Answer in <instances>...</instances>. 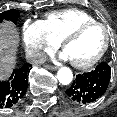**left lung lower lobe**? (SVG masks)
Masks as SVG:
<instances>
[{
    "label": "left lung lower lobe",
    "mask_w": 117,
    "mask_h": 117,
    "mask_svg": "<svg viewBox=\"0 0 117 117\" xmlns=\"http://www.w3.org/2000/svg\"><path fill=\"white\" fill-rule=\"evenodd\" d=\"M111 77L109 63H100L91 72L79 74L66 94L75 102L91 103L99 99L107 90Z\"/></svg>",
    "instance_id": "left-lung-lower-lobe-1"
}]
</instances>
